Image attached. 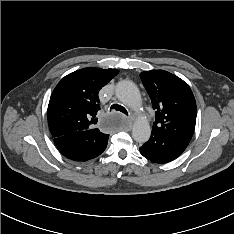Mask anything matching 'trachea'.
Masks as SVG:
<instances>
[{"mask_svg":"<svg viewBox=\"0 0 234 234\" xmlns=\"http://www.w3.org/2000/svg\"><path fill=\"white\" fill-rule=\"evenodd\" d=\"M110 109H111V110L114 109V110H116V111H120V112H122V113L128 115L127 110H126L123 106H121V105L113 104V105L111 106Z\"/></svg>","mask_w":234,"mask_h":234,"instance_id":"trachea-1","label":"trachea"}]
</instances>
